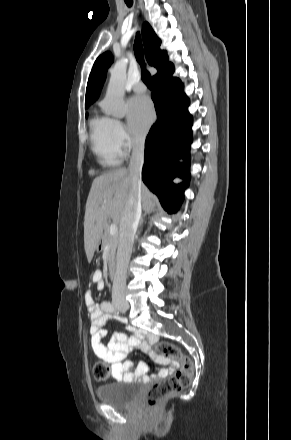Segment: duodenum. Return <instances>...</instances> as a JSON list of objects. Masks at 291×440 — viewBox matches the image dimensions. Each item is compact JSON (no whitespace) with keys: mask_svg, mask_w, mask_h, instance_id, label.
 Here are the masks:
<instances>
[{"mask_svg":"<svg viewBox=\"0 0 291 440\" xmlns=\"http://www.w3.org/2000/svg\"><path fill=\"white\" fill-rule=\"evenodd\" d=\"M108 274H109V277H110L112 280H115V278H116V268H115V264H114L113 262H111V263L109 264Z\"/></svg>","mask_w":291,"mask_h":440,"instance_id":"obj_1","label":"duodenum"}]
</instances>
